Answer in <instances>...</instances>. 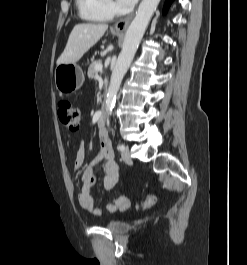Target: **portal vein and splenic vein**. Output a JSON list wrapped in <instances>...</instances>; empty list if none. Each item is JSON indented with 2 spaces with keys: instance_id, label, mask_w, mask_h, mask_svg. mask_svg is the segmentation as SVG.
Returning <instances> with one entry per match:
<instances>
[{
  "instance_id": "1",
  "label": "portal vein and splenic vein",
  "mask_w": 247,
  "mask_h": 265,
  "mask_svg": "<svg viewBox=\"0 0 247 265\" xmlns=\"http://www.w3.org/2000/svg\"><path fill=\"white\" fill-rule=\"evenodd\" d=\"M96 70H97V71H102V65H97V66H96Z\"/></svg>"
}]
</instances>
